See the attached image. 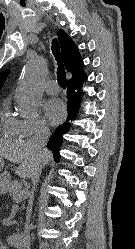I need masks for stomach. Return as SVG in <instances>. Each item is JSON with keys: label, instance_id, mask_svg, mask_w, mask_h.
Returning <instances> with one entry per match:
<instances>
[{"label": "stomach", "instance_id": "1", "mask_svg": "<svg viewBox=\"0 0 135 249\" xmlns=\"http://www.w3.org/2000/svg\"><path fill=\"white\" fill-rule=\"evenodd\" d=\"M3 165H4V160L3 158H0V170L2 169ZM3 177L6 179V182L3 181L2 179ZM9 180L10 177L8 174L5 173L0 174V188L3 189L4 187H6V184L9 182Z\"/></svg>", "mask_w": 135, "mask_h": 249}]
</instances>
